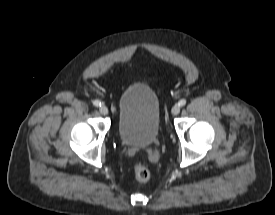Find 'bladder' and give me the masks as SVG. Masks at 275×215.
Returning a JSON list of instances; mask_svg holds the SVG:
<instances>
[{
	"label": "bladder",
	"mask_w": 275,
	"mask_h": 215,
	"mask_svg": "<svg viewBox=\"0 0 275 215\" xmlns=\"http://www.w3.org/2000/svg\"><path fill=\"white\" fill-rule=\"evenodd\" d=\"M118 135L134 147H149L159 132L160 105L156 93L147 85L131 84L124 89L117 103Z\"/></svg>",
	"instance_id": "bladder-1"
}]
</instances>
